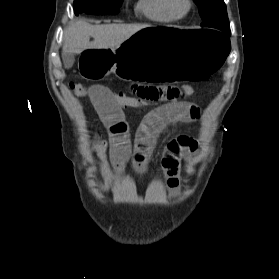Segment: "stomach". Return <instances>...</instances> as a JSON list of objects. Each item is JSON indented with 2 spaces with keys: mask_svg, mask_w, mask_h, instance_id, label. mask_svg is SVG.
<instances>
[{
  "mask_svg": "<svg viewBox=\"0 0 279 279\" xmlns=\"http://www.w3.org/2000/svg\"><path fill=\"white\" fill-rule=\"evenodd\" d=\"M122 44L80 50L75 75L83 82H105L120 75L132 87H174V82H214L231 55L228 34L176 25H142ZM221 49V50H218Z\"/></svg>",
  "mask_w": 279,
  "mask_h": 279,
  "instance_id": "0dacf381",
  "label": "stomach"
}]
</instances>
